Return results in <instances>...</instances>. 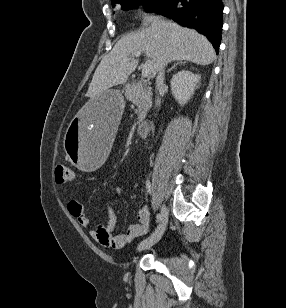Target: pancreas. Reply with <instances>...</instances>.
<instances>
[{
  "label": "pancreas",
  "instance_id": "pancreas-1",
  "mask_svg": "<svg viewBox=\"0 0 286 308\" xmlns=\"http://www.w3.org/2000/svg\"><path fill=\"white\" fill-rule=\"evenodd\" d=\"M151 95V88L141 81L134 83L125 89L126 99L138 107L137 124H140L144 120L147 111L151 107Z\"/></svg>",
  "mask_w": 286,
  "mask_h": 308
}]
</instances>
